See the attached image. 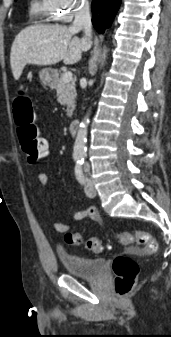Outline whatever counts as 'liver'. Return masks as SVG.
<instances>
[{
    "label": "liver",
    "instance_id": "1",
    "mask_svg": "<svg viewBox=\"0 0 171 337\" xmlns=\"http://www.w3.org/2000/svg\"><path fill=\"white\" fill-rule=\"evenodd\" d=\"M80 29L61 25H36L23 29L15 38L10 53V65L18 80L27 64L53 65L61 60L74 64L90 41L75 36Z\"/></svg>",
    "mask_w": 171,
    "mask_h": 337
}]
</instances>
